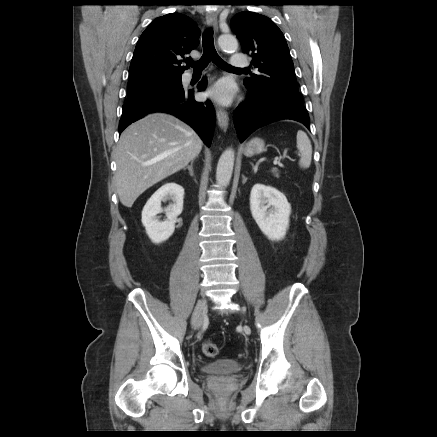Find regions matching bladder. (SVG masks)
Returning a JSON list of instances; mask_svg holds the SVG:
<instances>
[{"label":"bladder","mask_w":437,"mask_h":437,"mask_svg":"<svg viewBox=\"0 0 437 437\" xmlns=\"http://www.w3.org/2000/svg\"><path fill=\"white\" fill-rule=\"evenodd\" d=\"M201 372L207 375H229L242 370V364L231 358L218 359L201 366Z\"/></svg>","instance_id":"1"}]
</instances>
